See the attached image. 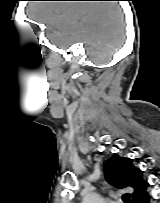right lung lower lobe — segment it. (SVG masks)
Listing matches in <instances>:
<instances>
[{
	"instance_id": "right-lung-lower-lobe-1",
	"label": "right lung lower lobe",
	"mask_w": 160,
	"mask_h": 203,
	"mask_svg": "<svg viewBox=\"0 0 160 203\" xmlns=\"http://www.w3.org/2000/svg\"><path fill=\"white\" fill-rule=\"evenodd\" d=\"M149 199L150 197L148 196V194L146 196H144L141 201L139 203H149Z\"/></svg>"
}]
</instances>
